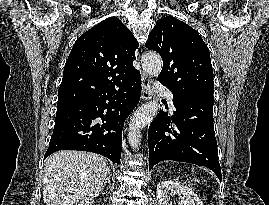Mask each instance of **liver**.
Segmentation results:
<instances>
[{
  "mask_svg": "<svg viewBox=\"0 0 269 205\" xmlns=\"http://www.w3.org/2000/svg\"><path fill=\"white\" fill-rule=\"evenodd\" d=\"M109 168L97 154L62 150L50 155L43 172L45 205H91Z\"/></svg>",
  "mask_w": 269,
  "mask_h": 205,
  "instance_id": "1",
  "label": "liver"
}]
</instances>
